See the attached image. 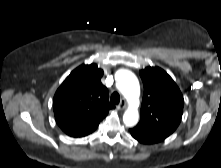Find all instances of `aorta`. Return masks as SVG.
I'll list each match as a JSON object with an SVG mask.
<instances>
[{"label": "aorta", "instance_id": "obj_1", "mask_svg": "<svg viewBox=\"0 0 221 168\" xmlns=\"http://www.w3.org/2000/svg\"><path fill=\"white\" fill-rule=\"evenodd\" d=\"M118 90L127 99L129 106L123 114V122L127 127L135 126L139 120L137 105L140 96L139 81L134 73L121 69L115 75Z\"/></svg>", "mask_w": 221, "mask_h": 168}]
</instances>
